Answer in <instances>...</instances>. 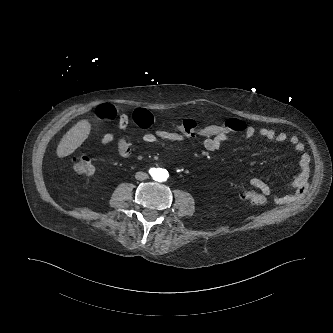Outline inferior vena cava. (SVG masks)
Wrapping results in <instances>:
<instances>
[{
    "mask_svg": "<svg viewBox=\"0 0 333 333\" xmlns=\"http://www.w3.org/2000/svg\"><path fill=\"white\" fill-rule=\"evenodd\" d=\"M135 178L140 181L146 180L148 178V174L145 172H137Z\"/></svg>",
    "mask_w": 333,
    "mask_h": 333,
    "instance_id": "obj_1",
    "label": "inferior vena cava"
}]
</instances>
